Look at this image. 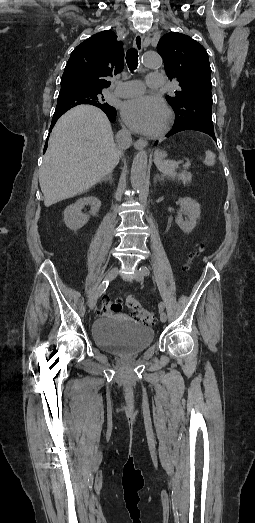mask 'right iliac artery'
Masks as SVG:
<instances>
[{
    "label": "right iliac artery",
    "instance_id": "82829eb1",
    "mask_svg": "<svg viewBox=\"0 0 255 523\" xmlns=\"http://www.w3.org/2000/svg\"><path fill=\"white\" fill-rule=\"evenodd\" d=\"M108 284H109V280H105L102 282V284L99 286L98 288V297L103 293L105 292V290L107 289L108 287Z\"/></svg>",
    "mask_w": 255,
    "mask_h": 523
}]
</instances>
